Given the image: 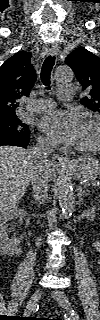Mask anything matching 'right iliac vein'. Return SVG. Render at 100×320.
<instances>
[{
  "instance_id": "1",
  "label": "right iliac vein",
  "mask_w": 100,
  "mask_h": 320,
  "mask_svg": "<svg viewBox=\"0 0 100 320\" xmlns=\"http://www.w3.org/2000/svg\"><path fill=\"white\" fill-rule=\"evenodd\" d=\"M41 290L40 289H37L30 297L28 303H27V306H26V309H25V312H26V315H29L36 307L38 301L40 300L41 298Z\"/></svg>"
}]
</instances>
